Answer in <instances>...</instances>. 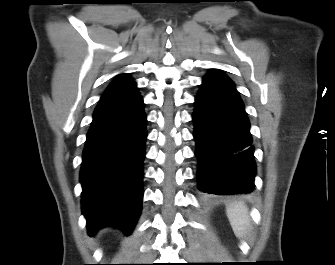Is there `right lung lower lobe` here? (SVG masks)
<instances>
[{"instance_id": "obj_1", "label": "right lung lower lobe", "mask_w": 335, "mask_h": 265, "mask_svg": "<svg viewBox=\"0 0 335 265\" xmlns=\"http://www.w3.org/2000/svg\"><path fill=\"white\" fill-rule=\"evenodd\" d=\"M138 90L102 98L83 151L82 212L90 236L105 226L130 234L141 212L146 115Z\"/></svg>"}]
</instances>
